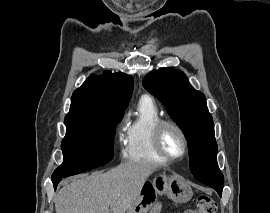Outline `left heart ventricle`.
<instances>
[{
  "mask_svg": "<svg viewBox=\"0 0 270 213\" xmlns=\"http://www.w3.org/2000/svg\"><path fill=\"white\" fill-rule=\"evenodd\" d=\"M163 147L171 156H180L183 152V141L179 133L173 128H167L163 134Z\"/></svg>",
  "mask_w": 270,
  "mask_h": 213,
  "instance_id": "obj_1",
  "label": "left heart ventricle"
}]
</instances>
